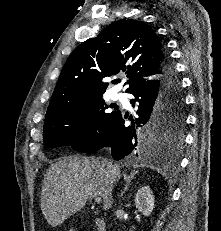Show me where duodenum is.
I'll list each match as a JSON object with an SVG mask.
<instances>
[{
  "label": "duodenum",
  "mask_w": 221,
  "mask_h": 231,
  "mask_svg": "<svg viewBox=\"0 0 221 231\" xmlns=\"http://www.w3.org/2000/svg\"><path fill=\"white\" fill-rule=\"evenodd\" d=\"M96 226L98 228L99 231H105V225H104V221L100 218H97L95 220Z\"/></svg>",
  "instance_id": "obj_1"
}]
</instances>
